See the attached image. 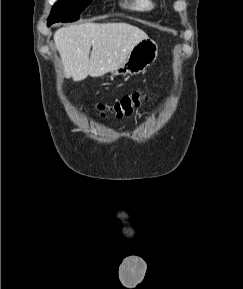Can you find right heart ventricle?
I'll return each mask as SVG.
<instances>
[{"label": "right heart ventricle", "mask_w": 243, "mask_h": 289, "mask_svg": "<svg viewBox=\"0 0 243 289\" xmlns=\"http://www.w3.org/2000/svg\"><path fill=\"white\" fill-rule=\"evenodd\" d=\"M124 7L135 12H149L154 9L155 4L152 0H128Z\"/></svg>", "instance_id": "1"}]
</instances>
